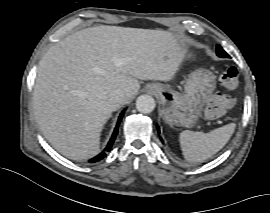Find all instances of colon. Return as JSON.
<instances>
[{
  "instance_id": "1",
  "label": "colon",
  "mask_w": 270,
  "mask_h": 213,
  "mask_svg": "<svg viewBox=\"0 0 270 213\" xmlns=\"http://www.w3.org/2000/svg\"><path fill=\"white\" fill-rule=\"evenodd\" d=\"M220 87L224 92L213 94L204 105V116L209 119L223 117L234 105L235 100L228 93L238 86V70L230 66L223 71L219 79Z\"/></svg>"
}]
</instances>
